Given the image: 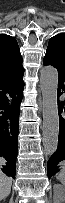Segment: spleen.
Instances as JSON below:
<instances>
[{
    "instance_id": "spleen-1",
    "label": "spleen",
    "mask_w": 65,
    "mask_h": 203,
    "mask_svg": "<svg viewBox=\"0 0 65 203\" xmlns=\"http://www.w3.org/2000/svg\"><path fill=\"white\" fill-rule=\"evenodd\" d=\"M63 165V164H62ZM64 168V167H63ZM62 184H65V169H61L56 177Z\"/></svg>"
}]
</instances>
